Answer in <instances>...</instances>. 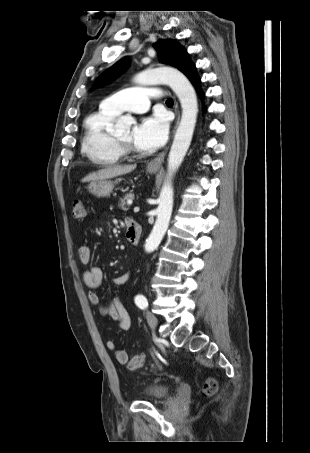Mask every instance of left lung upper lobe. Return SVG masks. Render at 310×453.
I'll use <instances>...</instances> for the list:
<instances>
[{"instance_id":"5c2ea615","label":"left lung upper lobe","mask_w":310,"mask_h":453,"mask_svg":"<svg viewBox=\"0 0 310 453\" xmlns=\"http://www.w3.org/2000/svg\"><path fill=\"white\" fill-rule=\"evenodd\" d=\"M158 52L159 61L181 69L182 65L189 59L188 54L182 46L175 41H159L154 45ZM128 66V59L123 58L112 67L107 69L96 81V85L104 84L121 74Z\"/></svg>"}]
</instances>
